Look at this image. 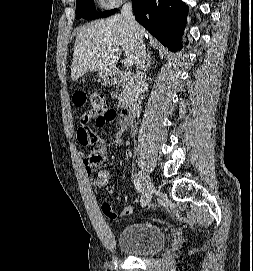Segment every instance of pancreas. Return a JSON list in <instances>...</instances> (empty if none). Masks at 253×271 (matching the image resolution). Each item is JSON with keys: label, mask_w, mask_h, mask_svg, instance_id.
<instances>
[{"label": "pancreas", "mask_w": 253, "mask_h": 271, "mask_svg": "<svg viewBox=\"0 0 253 271\" xmlns=\"http://www.w3.org/2000/svg\"><path fill=\"white\" fill-rule=\"evenodd\" d=\"M123 90L119 95L118 107L124 108L134 97L135 86L134 81L132 79H127L123 81Z\"/></svg>", "instance_id": "1"}]
</instances>
